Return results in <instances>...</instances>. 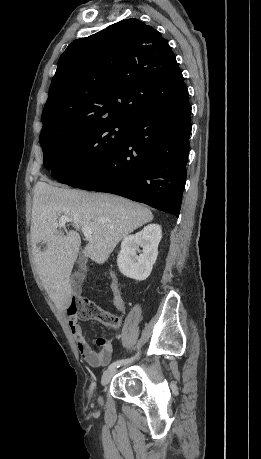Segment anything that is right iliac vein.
Segmentation results:
<instances>
[{"mask_svg": "<svg viewBox=\"0 0 261 459\" xmlns=\"http://www.w3.org/2000/svg\"><path fill=\"white\" fill-rule=\"evenodd\" d=\"M115 373H116V369L115 368L106 370L102 375L101 384L103 386L107 385L110 382V380L112 379V377L114 376ZM100 402H102L101 398H100Z\"/></svg>", "mask_w": 261, "mask_h": 459, "instance_id": "right-iliac-vein-1", "label": "right iliac vein"}]
</instances>
